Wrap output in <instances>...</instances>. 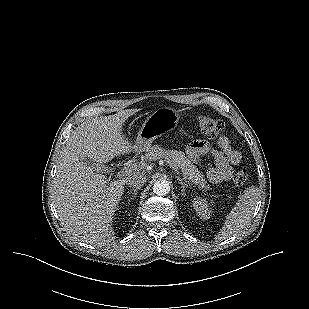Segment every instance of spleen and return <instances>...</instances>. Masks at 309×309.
I'll return each instance as SVG.
<instances>
[{
	"instance_id": "3e777b00",
	"label": "spleen",
	"mask_w": 309,
	"mask_h": 309,
	"mask_svg": "<svg viewBox=\"0 0 309 309\" xmlns=\"http://www.w3.org/2000/svg\"><path fill=\"white\" fill-rule=\"evenodd\" d=\"M259 196L260 191L256 186L244 190L243 195L227 215L222 229L216 236L217 240L222 241L234 236L248 225L259 201Z\"/></svg>"
}]
</instances>
